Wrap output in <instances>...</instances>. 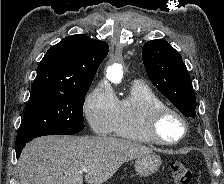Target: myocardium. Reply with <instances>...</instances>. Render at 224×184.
<instances>
[{
    "mask_svg": "<svg viewBox=\"0 0 224 184\" xmlns=\"http://www.w3.org/2000/svg\"><path fill=\"white\" fill-rule=\"evenodd\" d=\"M167 117H174L181 123L183 132L179 138L167 140L162 137L159 131V125ZM145 134L149 141L154 144L174 146L181 143L186 138L188 134V124L185 117L180 112L169 106L162 105L152 108L149 111L145 121Z\"/></svg>",
    "mask_w": 224,
    "mask_h": 184,
    "instance_id": "f54148a6",
    "label": "myocardium"
}]
</instances>
